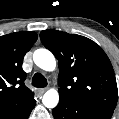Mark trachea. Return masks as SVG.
<instances>
[{
  "instance_id": "trachea-1",
  "label": "trachea",
  "mask_w": 119,
  "mask_h": 119,
  "mask_svg": "<svg viewBox=\"0 0 119 119\" xmlns=\"http://www.w3.org/2000/svg\"><path fill=\"white\" fill-rule=\"evenodd\" d=\"M32 85L37 88L47 86V80L41 73H36L32 78Z\"/></svg>"
}]
</instances>
